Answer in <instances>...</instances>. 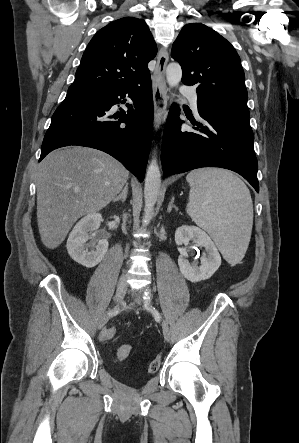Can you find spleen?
<instances>
[{"label": "spleen", "mask_w": 299, "mask_h": 443, "mask_svg": "<svg viewBox=\"0 0 299 443\" xmlns=\"http://www.w3.org/2000/svg\"><path fill=\"white\" fill-rule=\"evenodd\" d=\"M187 213L212 237L231 265L247 250L253 224V204L246 185L232 172L210 168L190 172Z\"/></svg>", "instance_id": "3e777b00"}]
</instances>
